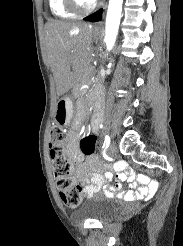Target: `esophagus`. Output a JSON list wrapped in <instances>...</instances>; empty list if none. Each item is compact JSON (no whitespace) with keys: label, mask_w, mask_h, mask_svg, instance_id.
<instances>
[{"label":"esophagus","mask_w":183,"mask_h":246,"mask_svg":"<svg viewBox=\"0 0 183 246\" xmlns=\"http://www.w3.org/2000/svg\"><path fill=\"white\" fill-rule=\"evenodd\" d=\"M105 9H106V5L103 6V12H104ZM100 24H101V23L98 22L97 26H99Z\"/></svg>","instance_id":"obj_1"}]
</instances>
